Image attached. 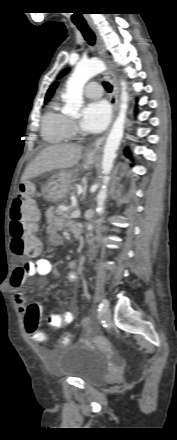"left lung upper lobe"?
<instances>
[{
	"mask_svg": "<svg viewBox=\"0 0 177 440\" xmlns=\"http://www.w3.org/2000/svg\"><path fill=\"white\" fill-rule=\"evenodd\" d=\"M68 71H69V69H65V70L60 74L59 77H62V76L65 75Z\"/></svg>",
	"mask_w": 177,
	"mask_h": 440,
	"instance_id": "5c2ea615",
	"label": "left lung upper lobe"
}]
</instances>
